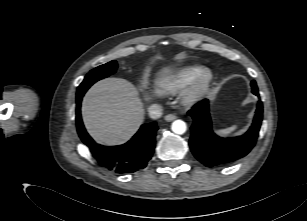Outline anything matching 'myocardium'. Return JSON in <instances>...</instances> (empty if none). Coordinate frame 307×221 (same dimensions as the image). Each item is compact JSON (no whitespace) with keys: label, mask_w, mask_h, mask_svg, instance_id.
I'll return each instance as SVG.
<instances>
[{"label":"myocardium","mask_w":307,"mask_h":221,"mask_svg":"<svg viewBox=\"0 0 307 221\" xmlns=\"http://www.w3.org/2000/svg\"><path fill=\"white\" fill-rule=\"evenodd\" d=\"M212 82V72L209 69H204L184 92L183 102L187 105L197 102L208 92Z\"/></svg>","instance_id":"f54148a6"}]
</instances>
